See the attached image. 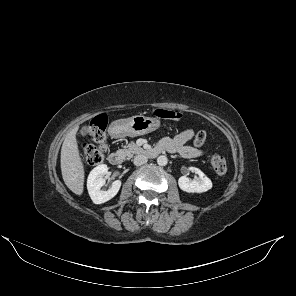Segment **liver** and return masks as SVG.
<instances>
[{
	"mask_svg": "<svg viewBox=\"0 0 296 296\" xmlns=\"http://www.w3.org/2000/svg\"><path fill=\"white\" fill-rule=\"evenodd\" d=\"M73 128L65 137L61 148V172L66 186L75 194L81 195L84 188V166L81 161L76 133Z\"/></svg>",
	"mask_w": 296,
	"mask_h": 296,
	"instance_id": "1",
	"label": "liver"
}]
</instances>
